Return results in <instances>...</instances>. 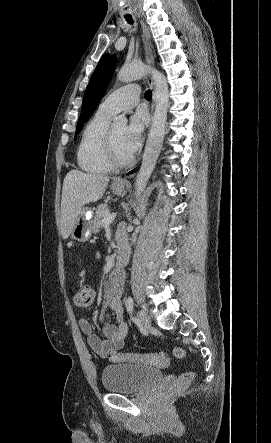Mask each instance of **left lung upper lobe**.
<instances>
[{"instance_id":"1","label":"left lung upper lobe","mask_w":271,"mask_h":443,"mask_svg":"<svg viewBox=\"0 0 271 443\" xmlns=\"http://www.w3.org/2000/svg\"><path fill=\"white\" fill-rule=\"evenodd\" d=\"M116 63V56H110L109 54H104L98 62L84 94L82 111L77 123L75 135L82 130L83 123L91 117L98 103L104 96L115 70Z\"/></svg>"}]
</instances>
